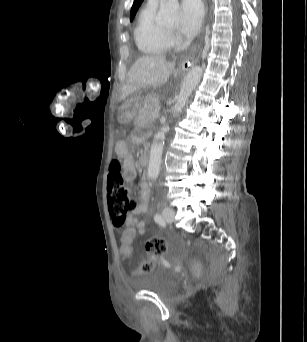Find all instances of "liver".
Listing matches in <instances>:
<instances>
[{
  "label": "liver",
  "instance_id": "liver-1",
  "mask_svg": "<svg viewBox=\"0 0 307 342\" xmlns=\"http://www.w3.org/2000/svg\"><path fill=\"white\" fill-rule=\"evenodd\" d=\"M174 68L175 62H167L163 54L138 58L126 76L120 92L121 100H125L140 88H158L166 84Z\"/></svg>",
  "mask_w": 307,
  "mask_h": 342
}]
</instances>
